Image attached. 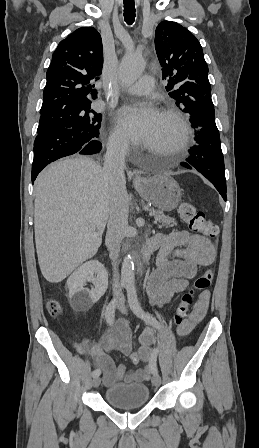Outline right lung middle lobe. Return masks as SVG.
I'll use <instances>...</instances> for the list:
<instances>
[{"label": "right lung middle lobe", "mask_w": 259, "mask_h": 448, "mask_svg": "<svg viewBox=\"0 0 259 448\" xmlns=\"http://www.w3.org/2000/svg\"><path fill=\"white\" fill-rule=\"evenodd\" d=\"M102 115L91 109V105L41 114L37 133L41 134L56 128H72L89 134L93 139L99 137Z\"/></svg>", "instance_id": "right-lung-middle-lobe-1"}]
</instances>
